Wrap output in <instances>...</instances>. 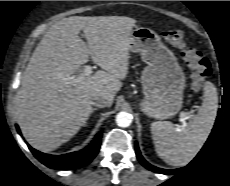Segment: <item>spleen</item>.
<instances>
[{"label":"spleen","mask_w":230,"mask_h":186,"mask_svg":"<svg viewBox=\"0 0 230 186\" xmlns=\"http://www.w3.org/2000/svg\"><path fill=\"white\" fill-rule=\"evenodd\" d=\"M203 90L202 105L185 126L174 127L169 121L151 124L155 150L169 165H187L200 151L213 128L218 109L217 89L211 82H206Z\"/></svg>","instance_id":"3e777b00"}]
</instances>
